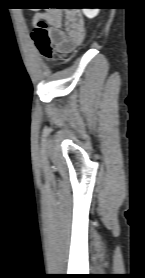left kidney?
I'll return each mask as SVG.
<instances>
[{"instance_id":"1","label":"left kidney","mask_w":145,"mask_h":278,"mask_svg":"<svg viewBox=\"0 0 145 278\" xmlns=\"http://www.w3.org/2000/svg\"><path fill=\"white\" fill-rule=\"evenodd\" d=\"M83 13L88 18H94L99 13V8H83Z\"/></svg>"}]
</instances>
